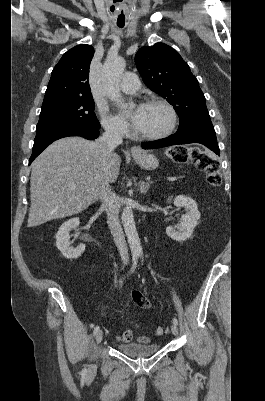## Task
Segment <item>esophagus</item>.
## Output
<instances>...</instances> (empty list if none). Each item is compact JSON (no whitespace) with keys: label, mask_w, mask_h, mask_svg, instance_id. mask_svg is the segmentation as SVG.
<instances>
[{"label":"esophagus","mask_w":265,"mask_h":401,"mask_svg":"<svg viewBox=\"0 0 265 401\" xmlns=\"http://www.w3.org/2000/svg\"><path fill=\"white\" fill-rule=\"evenodd\" d=\"M136 151H137V148H136L135 146L131 148V152L134 153V152H136Z\"/></svg>","instance_id":"34e87169"}]
</instances>
